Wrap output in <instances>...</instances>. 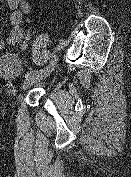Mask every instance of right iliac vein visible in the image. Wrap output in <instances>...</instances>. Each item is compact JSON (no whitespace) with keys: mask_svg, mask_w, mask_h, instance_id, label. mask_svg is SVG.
<instances>
[{"mask_svg":"<svg viewBox=\"0 0 131 177\" xmlns=\"http://www.w3.org/2000/svg\"><path fill=\"white\" fill-rule=\"evenodd\" d=\"M50 63L52 64V67L49 70H46L45 73H40L39 71H37V72H34L33 74H30L28 77H26L22 85V90L25 91L30 86H32L34 83L40 82L41 80L49 76L55 68V64H56L55 56L53 57V60L50 61Z\"/></svg>","mask_w":131,"mask_h":177,"instance_id":"right-iliac-vein-1","label":"right iliac vein"}]
</instances>
